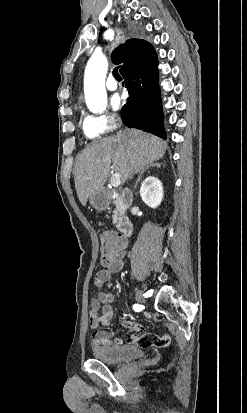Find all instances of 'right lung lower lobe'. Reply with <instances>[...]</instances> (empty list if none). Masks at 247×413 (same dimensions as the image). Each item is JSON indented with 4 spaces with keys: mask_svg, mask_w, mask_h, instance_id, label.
<instances>
[{
    "mask_svg": "<svg viewBox=\"0 0 247 413\" xmlns=\"http://www.w3.org/2000/svg\"><path fill=\"white\" fill-rule=\"evenodd\" d=\"M124 79L129 97L121 112L123 123L166 139L157 65L146 72L126 76Z\"/></svg>",
    "mask_w": 247,
    "mask_h": 413,
    "instance_id": "98d812e1",
    "label": "right lung lower lobe"
}]
</instances>
